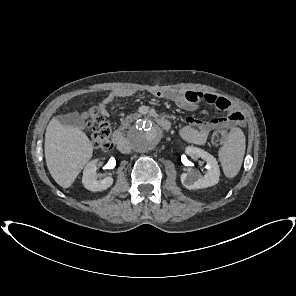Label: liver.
Masks as SVG:
<instances>
[{
	"instance_id": "6515ba94",
	"label": "liver",
	"mask_w": 296,
	"mask_h": 296,
	"mask_svg": "<svg viewBox=\"0 0 296 296\" xmlns=\"http://www.w3.org/2000/svg\"><path fill=\"white\" fill-rule=\"evenodd\" d=\"M44 148L48 170L63 188L73 184L93 154V145L83 131L64 126L56 118L46 128Z\"/></svg>"
}]
</instances>
